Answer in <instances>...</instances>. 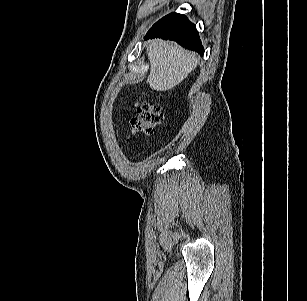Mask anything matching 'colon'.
<instances>
[{"label": "colon", "instance_id": "5ec220e1", "mask_svg": "<svg viewBox=\"0 0 307 301\" xmlns=\"http://www.w3.org/2000/svg\"><path fill=\"white\" fill-rule=\"evenodd\" d=\"M162 113L158 106L142 103L137 106V117L131 121L133 133L150 134L161 122Z\"/></svg>", "mask_w": 307, "mask_h": 301}]
</instances>
